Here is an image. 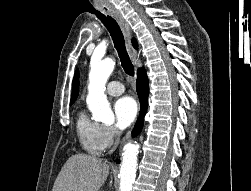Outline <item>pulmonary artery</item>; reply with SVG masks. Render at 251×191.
<instances>
[{
    "label": "pulmonary artery",
    "instance_id": "e3ab8cb5",
    "mask_svg": "<svg viewBox=\"0 0 251 191\" xmlns=\"http://www.w3.org/2000/svg\"><path fill=\"white\" fill-rule=\"evenodd\" d=\"M106 90L110 95L118 96L124 93L125 87L118 81H111L107 84Z\"/></svg>",
    "mask_w": 251,
    "mask_h": 191
}]
</instances>
